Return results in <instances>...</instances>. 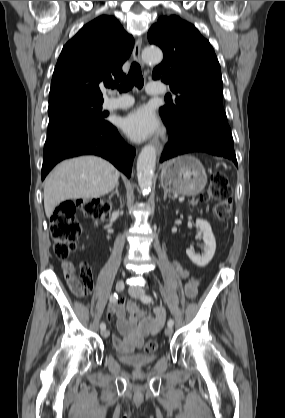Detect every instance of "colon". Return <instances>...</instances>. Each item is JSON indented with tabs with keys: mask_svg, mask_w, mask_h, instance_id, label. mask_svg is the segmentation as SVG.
Segmentation results:
<instances>
[{
	"mask_svg": "<svg viewBox=\"0 0 285 418\" xmlns=\"http://www.w3.org/2000/svg\"><path fill=\"white\" fill-rule=\"evenodd\" d=\"M204 202H214V213L219 220L227 219L232 211V192L228 186L227 178L221 173L212 176L209 187L200 195ZM108 207L100 201H85L75 203L68 200L58 205L50 221L51 237L53 239L54 254L60 259H66L77 249V240L81 233V227L75 220L77 214L86 217L105 219ZM88 288L78 282L74 288V293L78 297L88 294ZM157 344L153 340H148L144 344L146 353L154 352Z\"/></svg>",
	"mask_w": 285,
	"mask_h": 418,
	"instance_id": "colon-1",
	"label": "colon"
}]
</instances>
